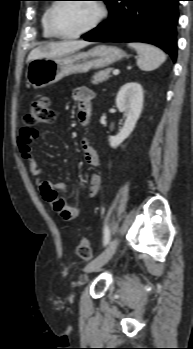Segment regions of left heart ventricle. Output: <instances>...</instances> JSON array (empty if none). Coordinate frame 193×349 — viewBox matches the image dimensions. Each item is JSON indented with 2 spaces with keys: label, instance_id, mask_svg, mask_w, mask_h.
<instances>
[{
  "label": "left heart ventricle",
  "instance_id": "b2bd125f",
  "mask_svg": "<svg viewBox=\"0 0 193 349\" xmlns=\"http://www.w3.org/2000/svg\"><path fill=\"white\" fill-rule=\"evenodd\" d=\"M98 16L93 2H70L60 4L54 12L53 23L57 31L73 34L88 27Z\"/></svg>",
  "mask_w": 193,
  "mask_h": 349
}]
</instances>
